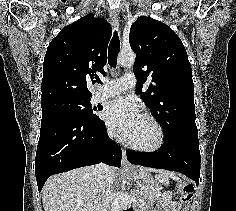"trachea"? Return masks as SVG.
<instances>
[{"instance_id": "1", "label": "trachea", "mask_w": 236, "mask_h": 211, "mask_svg": "<svg viewBox=\"0 0 236 211\" xmlns=\"http://www.w3.org/2000/svg\"><path fill=\"white\" fill-rule=\"evenodd\" d=\"M119 51H120V40L118 37V33L115 31L110 41L108 49V63L110 67L116 66Z\"/></svg>"}]
</instances>
